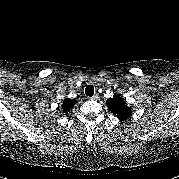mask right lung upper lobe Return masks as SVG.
<instances>
[{
  "mask_svg": "<svg viewBox=\"0 0 179 179\" xmlns=\"http://www.w3.org/2000/svg\"><path fill=\"white\" fill-rule=\"evenodd\" d=\"M75 104H76V100L75 99H73V100H71V99H65L63 104L61 105V107H62L63 111H68L71 108H73Z\"/></svg>",
  "mask_w": 179,
  "mask_h": 179,
  "instance_id": "right-lung-upper-lobe-1",
  "label": "right lung upper lobe"
}]
</instances>
